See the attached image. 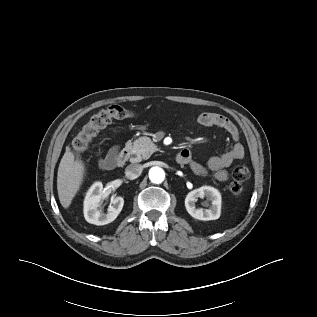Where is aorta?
Here are the masks:
<instances>
[{"label": "aorta", "instance_id": "1", "mask_svg": "<svg viewBox=\"0 0 317 317\" xmlns=\"http://www.w3.org/2000/svg\"><path fill=\"white\" fill-rule=\"evenodd\" d=\"M149 179L152 183L160 184L165 179V172L162 168L155 166L149 171Z\"/></svg>", "mask_w": 317, "mask_h": 317}]
</instances>
